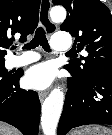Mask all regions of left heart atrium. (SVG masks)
<instances>
[{"label": "left heart atrium", "instance_id": "1", "mask_svg": "<svg viewBox=\"0 0 112 135\" xmlns=\"http://www.w3.org/2000/svg\"><path fill=\"white\" fill-rule=\"evenodd\" d=\"M55 79V71L49 64L43 63L31 67L25 74L24 83L28 88L47 89Z\"/></svg>", "mask_w": 112, "mask_h": 135}]
</instances>
